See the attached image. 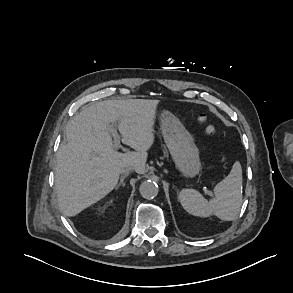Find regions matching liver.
Segmentation results:
<instances>
[{"mask_svg": "<svg viewBox=\"0 0 293 293\" xmlns=\"http://www.w3.org/2000/svg\"><path fill=\"white\" fill-rule=\"evenodd\" d=\"M158 103L146 99L97 102L69 121L67 144L57 152L55 170L58 203L65 216H75L109 194L122 168L133 166L136 173H145ZM111 124L117 125L122 143L136 151H116Z\"/></svg>", "mask_w": 293, "mask_h": 293, "instance_id": "1", "label": "liver"}]
</instances>
